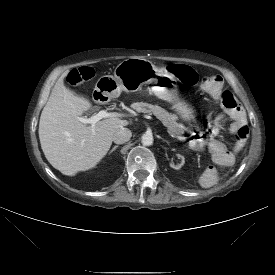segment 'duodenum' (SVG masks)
Segmentation results:
<instances>
[{"mask_svg": "<svg viewBox=\"0 0 275 275\" xmlns=\"http://www.w3.org/2000/svg\"><path fill=\"white\" fill-rule=\"evenodd\" d=\"M92 100L95 103H100L101 105H106L109 102V97L99 89H96L91 94Z\"/></svg>", "mask_w": 275, "mask_h": 275, "instance_id": "410a0bca", "label": "duodenum"}]
</instances>
